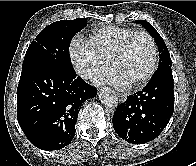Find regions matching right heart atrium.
Instances as JSON below:
<instances>
[{
    "label": "right heart atrium",
    "mask_w": 196,
    "mask_h": 166,
    "mask_svg": "<svg viewBox=\"0 0 196 166\" xmlns=\"http://www.w3.org/2000/svg\"><path fill=\"white\" fill-rule=\"evenodd\" d=\"M69 55L77 73L83 78L92 77L110 64V61L101 55L88 39L80 36L73 38Z\"/></svg>",
    "instance_id": "right-heart-atrium-1"
}]
</instances>
